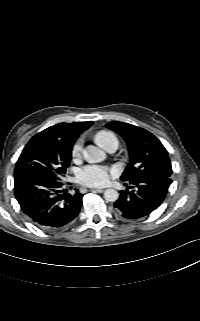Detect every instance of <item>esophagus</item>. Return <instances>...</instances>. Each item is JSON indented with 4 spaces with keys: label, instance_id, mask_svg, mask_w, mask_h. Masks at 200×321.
Instances as JSON below:
<instances>
[{
    "label": "esophagus",
    "instance_id": "34e87169",
    "mask_svg": "<svg viewBox=\"0 0 200 321\" xmlns=\"http://www.w3.org/2000/svg\"><path fill=\"white\" fill-rule=\"evenodd\" d=\"M93 191H94V192H97V193H101L103 190H101V189H94Z\"/></svg>",
    "mask_w": 200,
    "mask_h": 321
}]
</instances>
